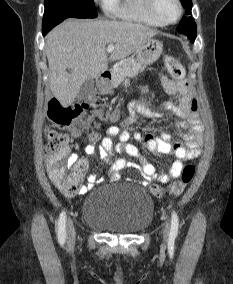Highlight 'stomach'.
I'll return each instance as SVG.
<instances>
[{
  "label": "stomach",
  "instance_id": "1",
  "mask_svg": "<svg viewBox=\"0 0 233 284\" xmlns=\"http://www.w3.org/2000/svg\"><path fill=\"white\" fill-rule=\"evenodd\" d=\"M163 52V44L155 39H149L145 44L135 52L136 59L142 66L151 65L159 59ZM115 82L112 79L101 86L102 92L110 91Z\"/></svg>",
  "mask_w": 233,
  "mask_h": 284
}]
</instances>
